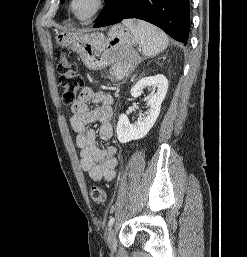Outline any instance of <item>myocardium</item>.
<instances>
[{
	"label": "myocardium",
	"mask_w": 247,
	"mask_h": 257,
	"mask_svg": "<svg viewBox=\"0 0 247 257\" xmlns=\"http://www.w3.org/2000/svg\"><path fill=\"white\" fill-rule=\"evenodd\" d=\"M76 0H69L68 2V11L70 15L80 24L87 25L91 23L98 15L99 13L104 9L106 5V0H94V6L93 9L90 11V13L84 17L79 16L75 9L74 4Z\"/></svg>",
	"instance_id": "1"
}]
</instances>
